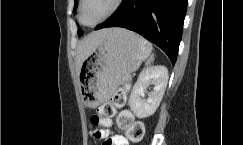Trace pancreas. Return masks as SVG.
Masks as SVG:
<instances>
[{"label": "pancreas", "mask_w": 243, "mask_h": 145, "mask_svg": "<svg viewBox=\"0 0 243 145\" xmlns=\"http://www.w3.org/2000/svg\"><path fill=\"white\" fill-rule=\"evenodd\" d=\"M130 82V76L128 75H124L121 79V83L122 84H126V83H129Z\"/></svg>", "instance_id": "obj_1"}]
</instances>
